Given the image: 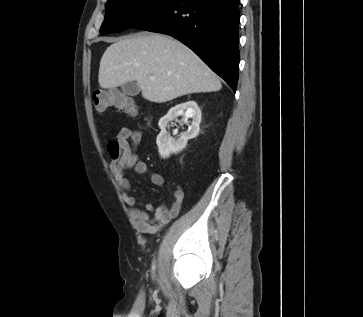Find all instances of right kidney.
Returning a JSON list of instances; mask_svg holds the SVG:
<instances>
[{
    "label": "right kidney",
    "instance_id": "1",
    "mask_svg": "<svg viewBox=\"0 0 363 317\" xmlns=\"http://www.w3.org/2000/svg\"><path fill=\"white\" fill-rule=\"evenodd\" d=\"M178 116L192 118V123L188 130L181 134L177 140L172 138L166 131L169 121L176 119ZM201 122V111L195 101H187L172 107L169 112L159 120L158 126L161 131L157 136V146L159 154L162 158H168L171 154H177L183 150L189 139L195 138L199 133V125Z\"/></svg>",
    "mask_w": 363,
    "mask_h": 317
}]
</instances>
